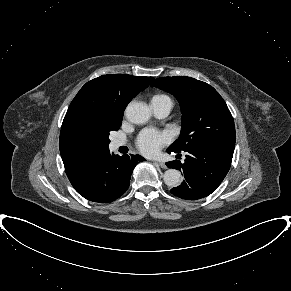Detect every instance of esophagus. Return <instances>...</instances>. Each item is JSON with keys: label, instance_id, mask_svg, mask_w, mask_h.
Wrapping results in <instances>:
<instances>
[{"label": "esophagus", "instance_id": "esophagus-1", "mask_svg": "<svg viewBox=\"0 0 291 291\" xmlns=\"http://www.w3.org/2000/svg\"><path fill=\"white\" fill-rule=\"evenodd\" d=\"M155 164H157L158 166H160L161 168H166V165L164 162L161 161H153Z\"/></svg>", "mask_w": 291, "mask_h": 291}]
</instances>
